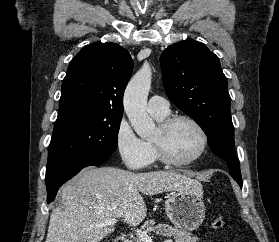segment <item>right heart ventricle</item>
Listing matches in <instances>:
<instances>
[{"label": "right heart ventricle", "mask_w": 279, "mask_h": 242, "mask_svg": "<svg viewBox=\"0 0 279 242\" xmlns=\"http://www.w3.org/2000/svg\"><path fill=\"white\" fill-rule=\"evenodd\" d=\"M152 116L159 122H162L164 119H166L168 117V113L167 114H158V113H153L151 112ZM146 144L148 145L150 151H151V154H152V160H155L158 158V155H157V152H156V149L152 143V141H147Z\"/></svg>", "instance_id": "e07e8e85"}]
</instances>
